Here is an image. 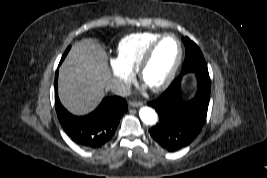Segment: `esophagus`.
Here are the masks:
<instances>
[{"label": "esophagus", "instance_id": "34e87169", "mask_svg": "<svg viewBox=\"0 0 267 178\" xmlns=\"http://www.w3.org/2000/svg\"><path fill=\"white\" fill-rule=\"evenodd\" d=\"M129 105H130L131 107H139V106H142V105H143V102L130 101V102H129Z\"/></svg>", "mask_w": 267, "mask_h": 178}]
</instances>
